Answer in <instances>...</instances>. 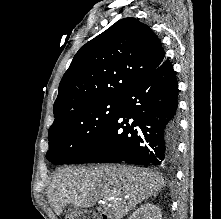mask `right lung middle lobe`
Masks as SVG:
<instances>
[{"mask_svg":"<svg viewBox=\"0 0 221 219\" xmlns=\"http://www.w3.org/2000/svg\"><path fill=\"white\" fill-rule=\"evenodd\" d=\"M121 98L91 101L68 111L49 129L47 159L66 164L86 150L116 115Z\"/></svg>","mask_w":221,"mask_h":219,"instance_id":"dd1d6c3e","label":"right lung middle lobe"}]
</instances>
